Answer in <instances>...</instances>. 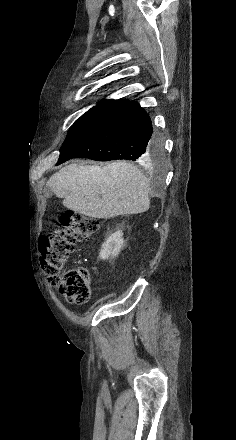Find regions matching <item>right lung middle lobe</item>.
<instances>
[{"instance_id": "1", "label": "right lung middle lobe", "mask_w": 236, "mask_h": 440, "mask_svg": "<svg viewBox=\"0 0 236 440\" xmlns=\"http://www.w3.org/2000/svg\"><path fill=\"white\" fill-rule=\"evenodd\" d=\"M112 107L97 105L83 114L69 129L68 135L63 143L65 145L72 138L91 127L96 121H98L105 114L110 112ZM62 145V146H63ZM163 158V152L161 147L157 144L150 154L146 157L145 163H157Z\"/></svg>"}]
</instances>
